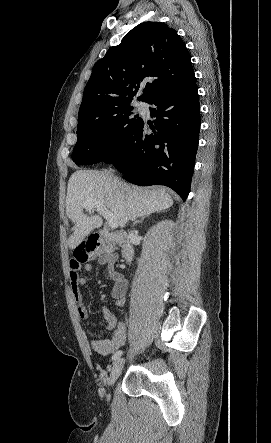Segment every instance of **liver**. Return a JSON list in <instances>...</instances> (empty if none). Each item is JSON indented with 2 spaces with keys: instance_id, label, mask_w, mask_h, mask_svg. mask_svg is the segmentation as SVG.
Here are the masks:
<instances>
[{
  "instance_id": "liver-1",
  "label": "liver",
  "mask_w": 271,
  "mask_h": 443,
  "mask_svg": "<svg viewBox=\"0 0 271 443\" xmlns=\"http://www.w3.org/2000/svg\"><path fill=\"white\" fill-rule=\"evenodd\" d=\"M117 178L111 172L77 170L68 180L66 216L74 223L67 245L75 249L95 227H101L103 220L93 212L84 214L83 206L88 202H100L117 218L120 227L129 220L148 216L173 206V200L165 190H147L138 186L118 188ZM68 225V223H67Z\"/></svg>"
}]
</instances>
